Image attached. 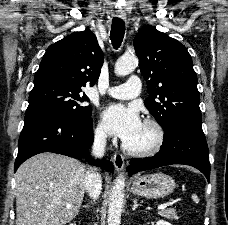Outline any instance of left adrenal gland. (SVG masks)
<instances>
[{"label":"left adrenal gland","instance_id":"1","mask_svg":"<svg viewBox=\"0 0 228 225\" xmlns=\"http://www.w3.org/2000/svg\"><path fill=\"white\" fill-rule=\"evenodd\" d=\"M137 207H139V205H137V199H135V201H133L132 211H135V209H137ZM140 207H141V205H140Z\"/></svg>","mask_w":228,"mask_h":225}]
</instances>
